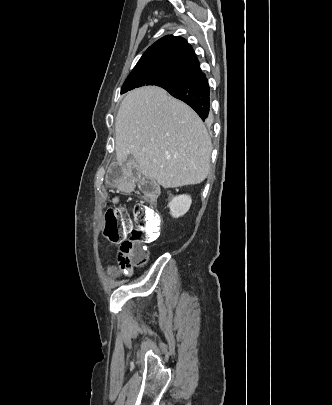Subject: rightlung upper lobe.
I'll return each mask as SVG.
<instances>
[{
    "mask_svg": "<svg viewBox=\"0 0 332 405\" xmlns=\"http://www.w3.org/2000/svg\"><path fill=\"white\" fill-rule=\"evenodd\" d=\"M156 70L187 78L201 72L192 46L180 36L168 35L152 44L132 72Z\"/></svg>",
    "mask_w": 332,
    "mask_h": 405,
    "instance_id": "1",
    "label": "right lung upper lobe"
}]
</instances>
